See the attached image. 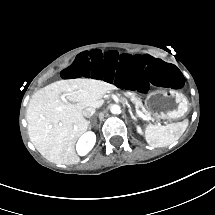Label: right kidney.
<instances>
[{"label":"right kidney","mask_w":215,"mask_h":215,"mask_svg":"<svg viewBox=\"0 0 215 215\" xmlns=\"http://www.w3.org/2000/svg\"><path fill=\"white\" fill-rule=\"evenodd\" d=\"M96 143V135L94 132L88 131L84 133L78 140L76 145L77 153L80 156L87 155Z\"/></svg>","instance_id":"1"}]
</instances>
